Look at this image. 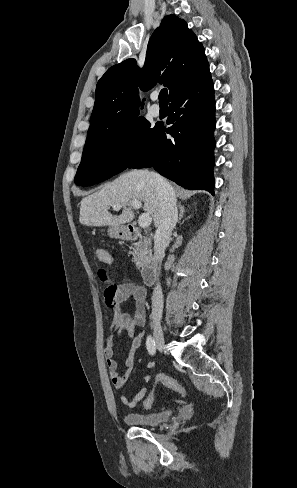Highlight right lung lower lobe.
<instances>
[{"mask_svg":"<svg viewBox=\"0 0 297 488\" xmlns=\"http://www.w3.org/2000/svg\"><path fill=\"white\" fill-rule=\"evenodd\" d=\"M169 128L160 127L128 168L154 167L187 189L214 194L215 100L211 75L182 90L169 104ZM166 133L174 139H167Z\"/></svg>","mask_w":297,"mask_h":488,"instance_id":"obj_1","label":"right lung lower lobe"}]
</instances>
